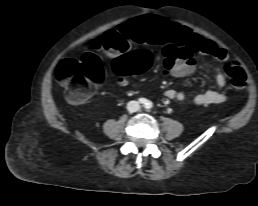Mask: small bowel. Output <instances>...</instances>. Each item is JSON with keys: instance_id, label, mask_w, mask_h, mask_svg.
Masks as SVG:
<instances>
[{"instance_id": "c3829d8e", "label": "small bowel", "mask_w": 258, "mask_h": 206, "mask_svg": "<svg viewBox=\"0 0 258 206\" xmlns=\"http://www.w3.org/2000/svg\"><path fill=\"white\" fill-rule=\"evenodd\" d=\"M164 44L162 54L164 57L163 74L175 77H185L193 74L196 70L194 53L206 54L218 61L225 62L228 59L226 50L219 47L212 41L192 33L188 28L178 25H171L167 32L158 36ZM129 43V34L122 28L108 31L102 40L105 52L113 58H119ZM215 73V87L196 95L193 102L196 105L206 106L220 104L226 101L227 96L220 90L226 84V77L221 68L217 67ZM129 80L124 75L117 78V84L121 87L129 85ZM164 97L169 100L184 101L186 93L181 90L168 89Z\"/></svg>"}]
</instances>
